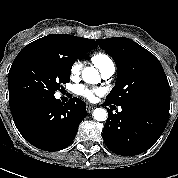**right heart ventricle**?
Masks as SVG:
<instances>
[{"label":"right heart ventricle","instance_id":"e07e8e85","mask_svg":"<svg viewBox=\"0 0 178 178\" xmlns=\"http://www.w3.org/2000/svg\"><path fill=\"white\" fill-rule=\"evenodd\" d=\"M92 62L94 65L101 71L105 68L108 64L113 63L111 58L104 54V53H95L91 57Z\"/></svg>","mask_w":178,"mask_h":178}]
</instances>
